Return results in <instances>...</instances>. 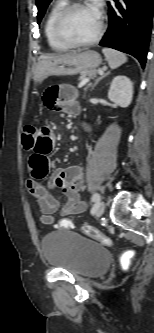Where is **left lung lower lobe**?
<instances>
[{"mask_svg": "<svg viewBox=\"0 0 154 333\" xmlns=\"http://www.w3.org/2000/svg\"><path fill=\"white\" fill-rule=\"evenodd\" d=\"M108 8L109 26L99 45L134 56L144 68L151 40L154 0H113Z\"/></svg>", "mask_w": 154, "mask_h": 333, "instance_id": "obj_1", "label": "left lung lower lobe"}]
</instances>
